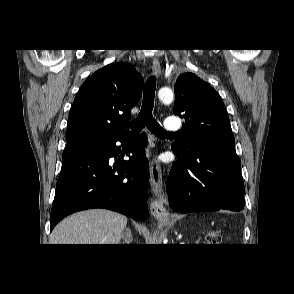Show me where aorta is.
Instances as JSON below:
<instances>
[{
    "label": "aorta",
    "instance_id": "1",
    "mask_svg": "<svg viewBox=\"0 0 294 294\" xmlns=\"http://www.w3.org/2000/svg\"><path fill=\"white\" fill-rule=\"evenodd\" d=\"M158 97L163 103L170 104L173 101L174 93L170 88L163 87L159 90Z\"/></svg>",
    "mask_w": 294,
    "mask_h": 294
}]
</instances>
